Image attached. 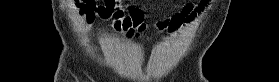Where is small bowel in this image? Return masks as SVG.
Here are the masks:
<instances>
[{
	"label": "small bowel",
	"instance_id": "c3829d8e",
	"mask_svg": "<svg viewBox=\"0 0 279 82\" xmlns=\"http://www.w3.org/2000/svg\"><path fill=\"white\" fill-rule=\"evenodd\" d=\"M209 4V1H201L199 4H187L183 7L181 15L172 14L166 19L159 21L156 24V28L159 30H168L169 34L174 33L178 30L180 25L183 22H191L194 20L205 7ZM121 1L107 0L104 3V6L98 7L95 4L85 3L80 8L81 18L84 21L86 27H88L96 16L102 19H112L113 26L117 30L124 31L127 37H133L138 35L139 32L145 31L148 28V25L142 22L141 26L137 28L134 32L133 28L130 25H127L124 22V13L121 7Z\"/></svg>",
	"mask_w": 279,
	"mask_h": 82
}]
</instances>
